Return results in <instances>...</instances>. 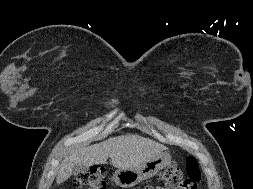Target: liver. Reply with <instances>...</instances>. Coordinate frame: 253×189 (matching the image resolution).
Listing matches in <instances>:
<instances>
[{"mask_svg":"<svg viewBox=\"0 0 253 189\" xmlns=\"http://www.w3.org/2000/svg\"><path fill=\"white\" fill-rule=\"evenodd\" d=\"M167 148L151 139L126 134L109 138L101 143L72 149L65 154L60 164L56 182L61 184L72 175L77 164L87 167L105 164L108 157L118 169H131L142 165Z\"/></svg>","mask_w":253,"mask_h":189,"instance_id":"liver-1","label":"liver"}]
</instances>
